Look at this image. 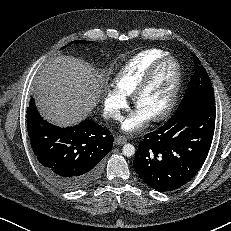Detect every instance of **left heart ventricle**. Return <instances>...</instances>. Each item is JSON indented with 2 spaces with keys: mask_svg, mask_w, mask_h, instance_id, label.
<instances>
[{
  "mask_svg": "<svg viewBox=\"0 0 231 231\" xmlns=\"http://www.w3.org/2000/svg\"><path fill=\"white\" fill-rule=\"evenodd\" d=\"M175 67L172 62L163 64L151 85L141 96L138 109L150 118L158 114L166 105L174 81Z\"/></svg>",
  "mask_w": 231,
  "mask_h": 231,
  "instance_id": "1",
  "label": "left heart ventricle"
}]
</instances>
